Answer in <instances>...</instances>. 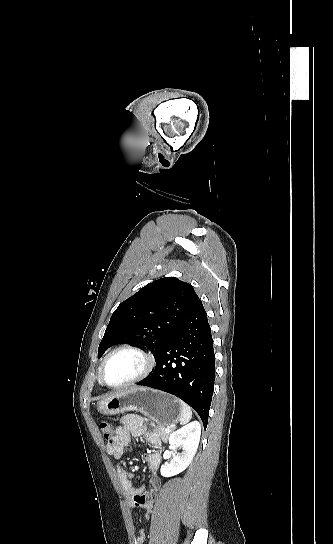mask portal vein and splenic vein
<instances>
[{
    "mask_svg": "<svg viewBox=\"0 0 333 544\" xmlns=\"http://www.w3.org/2000/svg\"><path fill=\"white\" fill-rule=\"evenodd\" d=\"M166 433H169L170 432V428L167 427L166 430H165Z\"/></svg>",
    "mask_w": 333,
    "mask_h": 544,
    "instance_id": "1",
    "label": "portal vein and splenic vein"
}]
</instances>
